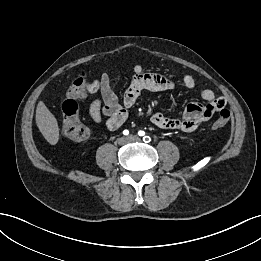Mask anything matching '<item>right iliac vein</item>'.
Segmentation results:
<instances>
[{
	"label": "right iliac vein",
	"mask_w": 261,
	"mask_h": 261,
	"mask_svg": "<svg viewBox=\"0 0 261 261\" xmlns=\"http://www.w3.org/2000/svg\"><path fill=\"white\" fill-rule=\"evenodd\" d=\"M127 138H125V137H121V138H119L118 139V143L120 144V145H123V144H125L126 142H127Z\"/></svg>",
	"instance_id": "1"
}]
</instances>
